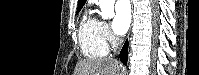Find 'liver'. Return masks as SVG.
I'll return each mask as SVG.
<instances>
[{"label": "liver", "mask_w": 199, "mask_h": 75, "mask_svg": "<svg viewBox=\"0 0 199 75\" xmlns=\"http://www.w3.org/2000/svg\"><path fill=\"white\" fill-rule=\"evenodd\" d=\"M121 73V65L115 59L82 60L74 71V75H121Z\"/></svg>", "instance_id": "1"}]
</instances>
